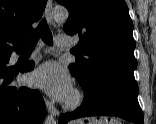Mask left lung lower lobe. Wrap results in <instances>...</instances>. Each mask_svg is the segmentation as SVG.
<instances>
[{"label":"left lung lower lobe","mask_w":156,"mask_h":124,"mask_svg":"<svg viewBox=\"0 0 156 124\" xmlns=\"http://www.w3.org/2000/svg\"><path fill=\"white\" fill-rule=\"evenodd\" d=\"M83 91L81 106L70 114H62L60 124L81 117L105 115L143 124V113L137 99V83L115 76L105 77Z\"/></svg>","instance_id":"left-lung-lower-lobe-1"}]
</instances>
